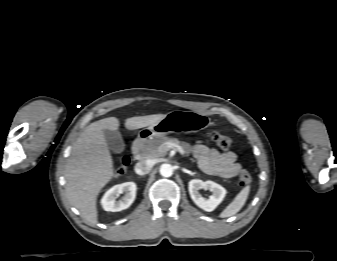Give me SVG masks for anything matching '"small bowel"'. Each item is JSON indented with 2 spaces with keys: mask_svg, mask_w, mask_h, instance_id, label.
<instances>
[{
  "mask_svg": "<svg viewBox=\"0 0 337 261\" xmlns=\"http://www.w3.org/2000/svg\"><path fill=\"white\" fill-rule=\"evenodd\" d=\"M192 151L199 167L206 174L232 178L241 170L237 156L232 151L220 152L203 144H196Z\"/></svg>",
  "mask_w": 337,
  "mask_h": 261,
  "instance_id": "1",
  "label": "small bowel"
}]
</instances>
